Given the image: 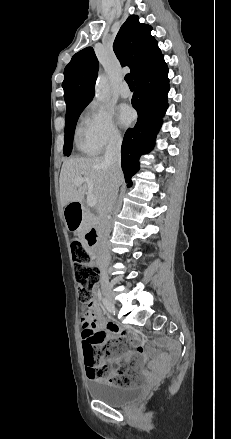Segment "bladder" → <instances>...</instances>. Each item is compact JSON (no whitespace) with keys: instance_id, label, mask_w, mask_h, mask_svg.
I'll return each mask as SVG.
<instances>
[{"instance_id":"obj_1","label":"bladder","mask_w":231,"mask_h":439,"mask_svg":"<svg viewBox=\"0 0 231 439\" xmlns=\"http://www.w3.org/2000/svg\"><path fill=\"white\" fill-rule=\"evenodd\" d=\"M88 391L92 398L112 406L124 405L142 395V390L139 387H124L106 382L92 383L89 385Z\"/></svg>"}]
</instances>
